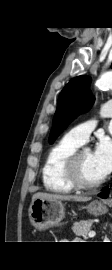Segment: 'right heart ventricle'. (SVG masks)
Here are the masks:
<instances>
[{
  "instance_id": "obj_1",
  "label": "right heart ventricle",
  "mask_w": 112,
  "mask_h": 270,
  "mask_svg": "<svg viewBox=\"0 0 112 270\" xmlns=\"http://www.w3.org/2000/svg\"><path fill=\"white\" fill-rule=\"evenodd\" d=\"M80 146L81 143L67 134L49 150L42 167V181L48 191L68 194L74 190L64 177L63 163Z\"/></svg>"
}]
</instances>
